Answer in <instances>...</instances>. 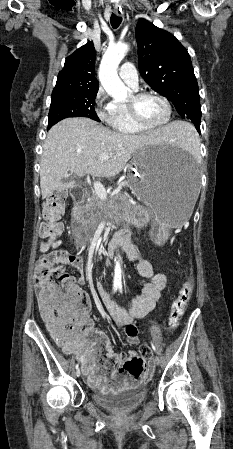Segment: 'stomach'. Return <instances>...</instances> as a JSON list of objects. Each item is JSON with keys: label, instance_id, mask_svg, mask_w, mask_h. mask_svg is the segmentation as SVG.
Returning <instances> with one entry per match:
<instances>
[{"label": "stomach", "instance_id": "obj_1", "mask_svg": "<svg viewBox=\"0 0 233 449\" xmlns=\"http://www.w3.org/2000/svg\"><path fill=\"white\" fill-rule=\"evenodd\" d=\"M134 195L151 211L156 239L163 242L171 228L182 226L199 200V172L188 154L150 144L139 149L128 165Z\"/></svg>", "mask_w": 233, "mask_h": 449}]
</instances>
